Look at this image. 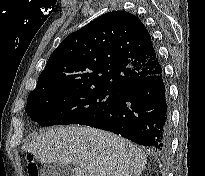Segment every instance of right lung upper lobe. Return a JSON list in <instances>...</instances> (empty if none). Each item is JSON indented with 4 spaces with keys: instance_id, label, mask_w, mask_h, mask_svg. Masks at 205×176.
<instances>
[{
    "instance_id": "right-lung-upper-lobe-1",
    "label": "right lung upper lobe",
    "mask_w": 205,
    "mask_h": 176,
    "mask_svg": "<svg viewBox=\"0 0 205 176\" xmlns=\"http://www.w3.org/2000/svg\"><path fill=\"white\" fill-rule=\"evenodd\" d=\"M161 70L151 36L140 19L125 11H113L60 43L29 96L68 88L121 91Z\"/></svg>"
}]
</instances>
